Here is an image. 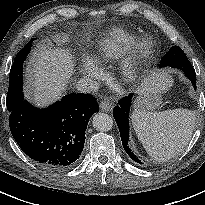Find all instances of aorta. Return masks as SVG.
<instances>
[{"mask_svg":"<svg viewBox=\"0 0 205 205\" xmlns=\"http://www.w3.org/2000/svg\"><path fill=\"white\" fill-rule=\"evenodd\" d=\"M93 127L101 132H106L112 129L113 119L105 113H98L93 117Z\"/></svg>","mask_w":205,"mask_h":205,"instance_id":"762f6f07","label":"aorta"}]
</instances>
